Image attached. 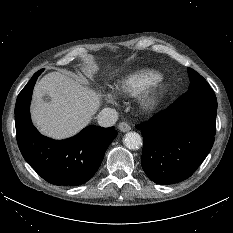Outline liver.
Here are the masks:
<instances>
[{
    "label": "liver",
    "instance_id": "1",
    "mask_svg": "<svg viewBox=\"0 0 233 233\" xmlns=\"http://www.w3.org/2000/svg\"><path fill=\"white\" fill-rule=\"evenodd\" d=\"M45 95L50 102L44 101ZM100 105V94L60 72H51L34 88L31 116L42 134L64 139L86 127Z\"/></svg>",
    "mask_w": 233,
    "mask_h": 233
}]
</instances>
